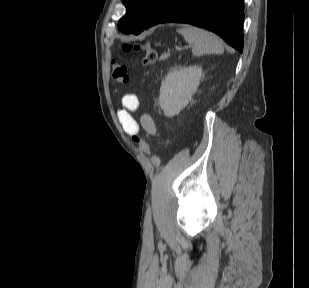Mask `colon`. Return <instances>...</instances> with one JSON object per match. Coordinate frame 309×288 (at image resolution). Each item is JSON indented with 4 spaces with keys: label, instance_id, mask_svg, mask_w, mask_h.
Returning a JSON list of instances; mask_svg holds the SVG:
<instances>
[{
    "label": "colon",
    "instance_id": "5ec220e1",
    "mask_svg": "<svg viewBox=\"0 0 309 288\" xmlns=\"http://www.w3.org/2000/svg\"><path fill=\"white\" fill-rule=\"evenodd\" d=\"M134 49L142 51V64L145 67L152 66L158 59L157 51L149 45H136ZM112 76L118 83L126 84L129 79L127 67L122 64H115L113 67ZM133 138L140 144L144 153H149V147L140 135L135 134L133 135Z\"/></svg>",
    "mask_w": 309,
    "mask_h": 288
}]
</instances>
